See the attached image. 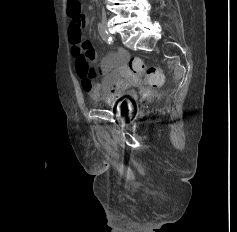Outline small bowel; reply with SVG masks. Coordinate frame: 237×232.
Here are the masks:
<instances>
[{
    "mask_svg": "<svg viewBox=\"0 0 237 232\" xmlns=\"http://www.w3.org/2000/svg\"><path fill=\"white\" fill-rule=\"evenodd\" d=\"M86 24L87 17L82 13L80 20L72 19L68 28L76 71L83 89L92 99L112 104L124 97L132 86V82L124 78L128 74L129 55L124 49H118L116 53L105 56L100 62L102 80L98 82V71L92 66L95 60L94 47L82 36Z\"/></svg>",
    "mask_w": 237,
    "mask_h": 232,
    "instance_id": "1",
    "label": "small bowel"
}]
</instances>
